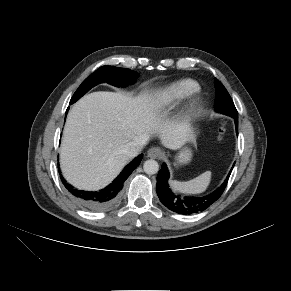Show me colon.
<instances>
[{"label": "colon", "instance_id": "1", "mask_svg": "<svg viewBox=\"0 0 291 291\" xmlns=\"http://www.w3.org/2000/svg\"><path fill=\"white\" fill-rule=\"evenodd\" d=\"M225 134H226V128L224 125H222L219 129V134H218L219 140H222L224 138Z\"/></svg>", "mask_w": 291, "mask_h": 291}]
</instances>
